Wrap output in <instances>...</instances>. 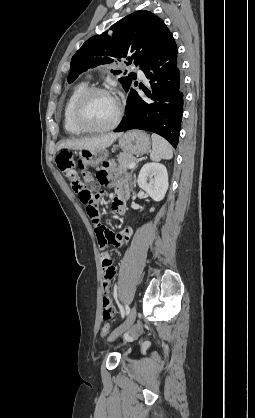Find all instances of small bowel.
Segmentation results:
<instances>
[{
	"label": "small bowel",
	"mask_w": 255,
	"mask_h": 418,
	"mask_svg": "<svg viewBox=\"0 0 255 418\" xmlns=\"http://www.w3.org/2000/svg\"><path fill=\"white\" fill-rule=\"evenodd\" d=\"M99 181L103 184L112 185L115 188V195L112 199V208L117 213L123 215L126 211L125 200L128 197V188L125 181L119 178L116 174L111 173L108 165H105L98 173ZM131 229L125 228L117 234L109 233L108 227H99L96 241L98 242L99 254L101 255L102 264V320H114L115 308L110 296V284L116 273L114 260L112 258L109 243L115 248L123 246L131 236ZM109 329V325H108Z\"/></svg>",
	"instance_id": "obj_1"
}]
</instances>
